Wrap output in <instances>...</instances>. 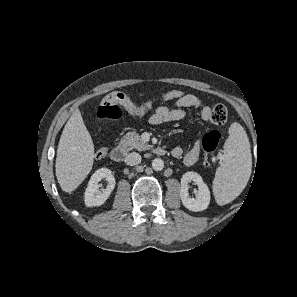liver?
I'll return each mask as SVG.
<instances>
[{
    "mask_svg": "<svg viewBox=\"0 0 297 297\" xmlns=\"http://www.w3.org/2000/svg\"><path fill=\"white\" fill-rule=\"evenodd\" d=\"M93 161V141L76 109L63 129L57 148L55 172L61 189L73 192L91 171Z\"/></svg>",
    "mask_w": 297,
    "mask_h": 297,
    "instance_id": "1",
    "label": "liver"
}]
</instances>
